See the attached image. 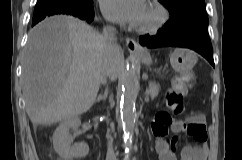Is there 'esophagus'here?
<instances>
[{
  "label": "esophagus",
  "instance_id": "34e87169",
  "mask_svg": "<svg viewBox=\"0 0 242 160\" xmlns=\"http://www.w3.org/2000/svg\"><path fill=\"white\" fill-rule=\"evenodd\" d=\"M126 46L130 52L144 53V49L133 38H126Z\"/></svg>",
  "mask_w": 242,
  "mask_h": 160
}]
</instances>
